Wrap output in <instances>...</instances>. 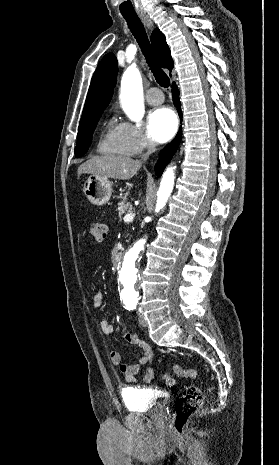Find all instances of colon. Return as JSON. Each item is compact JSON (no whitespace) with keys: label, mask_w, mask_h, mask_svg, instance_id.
Segmentation results:
<instances>
[{"label":"colon","mask_w":279,"mask_h":465,"mask_svg":"<svg viewBox=\"0 0 279 465\" xmlns=\"http://www.w3.org/2000/svg\"><path fill=\"white\" fill-rule=\"evenodd\" d=\"M91 235L98 242L106 238L107 227L103 222H93L90 227ZM186 379H194L197 376L195 367H183L175 364L172 368V373H166L162 376L163 382L167 386L175 384V377ZM202 404V391L196 385L187 386L175 403V416L173 420V428L177 433H182L190 416L195 413Z\"/></svg>","instance_id":"5ec220e1"}]
</instances>
